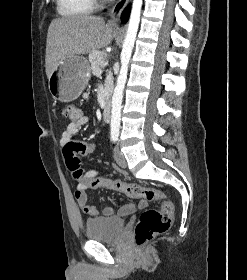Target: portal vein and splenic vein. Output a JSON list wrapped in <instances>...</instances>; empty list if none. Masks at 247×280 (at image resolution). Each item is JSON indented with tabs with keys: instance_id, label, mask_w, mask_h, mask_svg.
<instances>
[{
	"instance_id": "portal-vein-and-splenic-vein-1",
	"label": "portal vein and splenic vein",
	"mask_w": 247,
	"mask_h": 280,
	"mask_svg": "<svg viewBox=\"0 0 247 280\" xmlns=\"http://www.w3.org/2000/svg\"><path fill=\"white\" fill-rule=\"evenodd\" d=\"M106 65V63H102V66L104 67Z\"/></svg>"
}]
</instances>
